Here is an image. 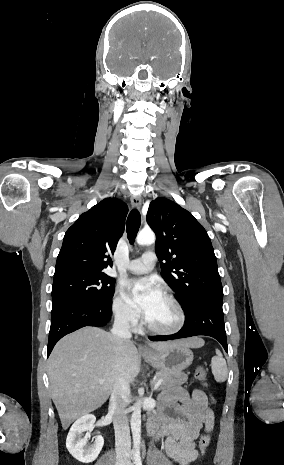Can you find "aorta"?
<instances>
[{
	"label": "aorta",
	"mask_w": 284,
	"mask_h": 465,
	"mask_svg": "<svg viewBox=\"0 0 284 465\" xmlns=\"http://www.w3.org/2000/svg\"><path fill=\"white\" fill-rule=\"evenodd\" d=\"M137 243L139 245H149L155 242V234L151 230H143L137 235ZM138 401L132 408L131 430L134 444V457H140L141 443V407Z\"/></svg>",
	"instance_id": "1"
}]
</instances>
